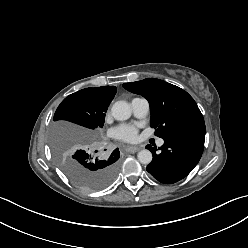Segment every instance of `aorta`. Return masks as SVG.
<instances>
[{
    "mask_svg": "<svg viewBox=\"0 0 248 248\" xmlns=\"http://www.w3.org/2000/svg\"><path fill=\"white\" fill-rule=\"evenodd\" d=\"M111 114L115 120H127L131 116V107L126 101H117L112 105ZM137 157L142 164H149L152 161V153L147 149L141 150Z\"/></svg>",
    "mask_w": 248,
    "mask_h": 248,
    "instance_id": "aorta-1",
    "label": "aorta"
}]
</instances>
